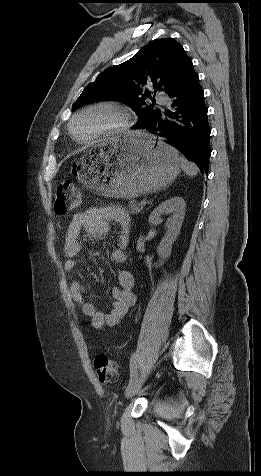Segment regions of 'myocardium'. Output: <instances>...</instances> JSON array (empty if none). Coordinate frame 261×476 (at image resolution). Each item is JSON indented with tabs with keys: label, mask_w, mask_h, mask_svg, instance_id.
<instances>
[{
	"label": "myocardium",
	"mask_w": 261,
	"mask_h": 476,
	"mask_svg": "<svg viewBox=\"0 0 261 476\" xmlns=\"http://www.w3.org/2000/svg\"><path fill=\"white\" fill-rule=\"evenodd\" d=\"M100 109H108V110L113 111L118 117L117 122L114 125L100 131L99 133H97L96 135H94L93 137H91L89 139H85V140L78 139L76 137L75 133H74V130H73V125H74L75 121L79 117H81V116H83L87 113H90V112H93V111H96V110H100ZM132 119H133L132 111L127 105H125L123 103H120V102H117V101L102 100V101H97V102L88 104V105L82 107L81 109H79L77 112H75L74 115L71 117L69 123H68V131H69V134H70L71 138L75 142H77L79 144H82V145H89V144L95 143L99 140H102L106 137H110V136H114V135H118V134L123 133L131 125Z\"/></svg>",
	"instance_id": "myocardium-1"
}]
</instances>
